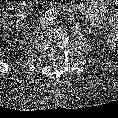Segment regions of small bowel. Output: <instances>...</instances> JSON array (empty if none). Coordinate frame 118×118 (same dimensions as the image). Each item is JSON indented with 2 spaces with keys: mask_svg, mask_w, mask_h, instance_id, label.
Returning <instances> with one entry per match:
<instances>
[{
  "mask_svg": "<svg viewBox=\"0 0 118 118\" xmlns=\"http://www.w3.org/2000/svg\"><path fill=\"white\" fill-rule=\"evenodd\" d=\"M77 8L92 23V25L102 28L104 26V14L108 10V3L105 0H87L78 4ZM113 29L108 36V45L110 48L118 44V10L111 18Z\"/></svg>",
  "mask_w": 118,
  "mask_h": 118,
  "instance_id": "small-bowel-1",
  "label": "small bowel"
}]
</instances>
